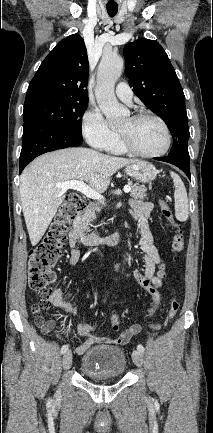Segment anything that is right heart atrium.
Returning a JSON list of instances; mask_svg holds the SVG:
<instances>
[{
  "mask_svg": "<svg viewBox=\"0 0 213 433\" xmlns=\"http://www.w3.org/2000/svg\"><path fill=\"white\" fill-rule=\"evenodd\" d=\"M82 134L93 148L99 150H107L116 137L102 114L92 107L82 117Z\"/></svg>",
  "mask_w": 213,
  "mask_h": 433,
  "instance_id": "1",
  "label": "right heart atrium"
}]
</instances>
